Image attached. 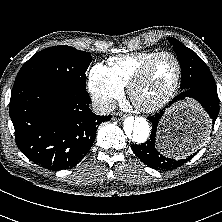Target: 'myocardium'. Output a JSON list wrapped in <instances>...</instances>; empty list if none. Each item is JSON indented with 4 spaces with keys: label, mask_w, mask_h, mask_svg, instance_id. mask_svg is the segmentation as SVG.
Listing matches in <instances>:
<instances>
[{
    "label": "myocardium",
    "mask_w": 222,
    "mask_h": 222,
    "mask_svg": "<svg viewBox=\"0 0 222 222\" xmlns=\"http://www.w3.org/2000/svg\"><path fill=\"white\" fill-rule=\"evenodd\" d=\"M162 57H170L174 60L177 71H176V77L174 79V82L170 86V88L165 92V94L160 97L158 100L150 103V104H143L137 100L136 92L141 83L145 80L147 73L149 72L152 65L160 58ZM182 77V65L178 57L171 53V52H159L156 55H154L151 59H149L147 62H145L139 70L136 72L132 80L130 81L128 85V95L130 100L133 102V104L142 112L150 113L159 110L164 105H166L172 97L175 95L176 91L178 90V87L180 85Z\"/></svg>",
    "instance_id": "1"
}]
</instances>
